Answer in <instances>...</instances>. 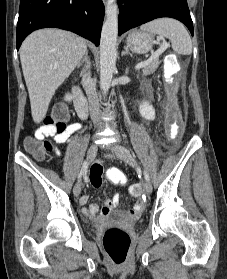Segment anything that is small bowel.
I'll list each match as a JSON object with an SVG mask.
<instances>
[{"label": "small bowel", "mask_w": 227, "mask_h": 279, "mask_svg": "<svg viewBox=\"0 0 227 279\" xmlns=\"http://www.w3.org/2000/svg\"><path fill=\"white\" fill-rule=\"evenodd\" d=\"M140 112L142 116L147 119V120H153L155 118V109L154 107L146 100H143L141 105H140ZM79 129V126L77 124H69L65 130L61 132H56L53 127L51 126H45L37 130L36 134L34 137H30L29 140L32 139H39L42 140L45 137H53V142L50 141L54 147L51 150L52 153L58 155L59 149L57 148L56 144L59 143H64L67 141V139L70 137L71 134H73L75 131ZM115 168H107L103 169L101 168V171L98 172L95 175L90 174L89 178V183L91 186L95 188H99L102 185V179L103 177H110V173L114 170ZM139 186L134 185L131 187L132 192H138L139 191ZM88 200V197L86 195H83L80 198V203L82 205L86 204ZM119 202L118 196L113 197L112 199H106L104 201V206L103 209L110 210L112 206H115ZM100 206L98 204H91L87 207H83L82 212L85 215H93L97 212H99Z\"/></svg>", "instance_id": "small-bowel-1"}]
</instances>
